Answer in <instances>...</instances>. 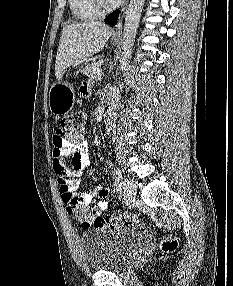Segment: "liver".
<instances>
[{
	"label": "liver",
	"instance_id": "6515ba94",
	"mask_svg": "<svg viewBox=\"0 0 233 286\" xmlns=\"http://www.w3.org/2000/svg\"><path fill=\"white\" fill-rule=\"evenodd\" d=\"M113 32L111 27L98 21L64 27L56 55V78H59L66 68L100 52Z\"/></svg>",
	"mask_w": 233,
	"mask_h": 286
}]
</instances>
